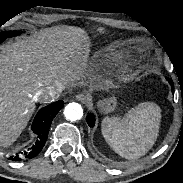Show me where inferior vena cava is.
<instances>
[{
    "mask_svg": "<svg viewBox=\"0 0 183 183\" xmlns=\"http://www.w3.org/2000/svg\"><path fill=\"white\" fill-rule=\"evenodd\" d=\"M64 86L59 85H50L41 90H39L35 95V100H39L41 102H48L54 100L60 96V93L63 91Z\"/></svg>",
    "mask_w": 183,
    "mask_h": 183,
    "instance_id": "inferior-vena-cava-1",
    "label": "inferior vena cava"
}]
</instances>
